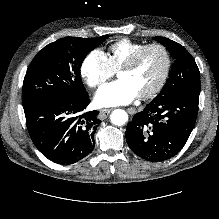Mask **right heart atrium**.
I'll return each instance as SVG.
<instances>
[{"instance_id":"obj_1","label":"right heart atrium","mask_w":219,"mask_h":219,"mask_svg":"<svg viewBox=\"0 0 219 219\" xmlns=\"http://www.w3.org/2000/svg\"><path fill=\"white\" fill-rule=\"evenodd\" d=\"M80 71L83 80L91 88L101 86L114 74L107 55L100 49H94L86 55Z\"/></svg>"}]
</instances>
